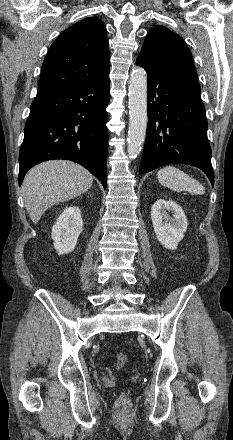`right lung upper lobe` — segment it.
<instances>
[{
	"label": "right lung upper lobe",
	"instance_id": "1",
	"mask_svg": "<svg viewBox=\"0 0 233 440\" xmlns=\"http://www.w3.org/2000/svg\"><path fill=\"white\" fill-rule=\"evenodd\" d=\"M109 44L103 22L83 19L67 28L43 61L38 92L77 86L109 73Z\"/></svg>",
	"mask_w": 233,
	"mask_h": 440
}]
</instances>
